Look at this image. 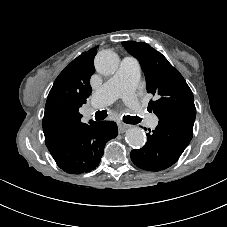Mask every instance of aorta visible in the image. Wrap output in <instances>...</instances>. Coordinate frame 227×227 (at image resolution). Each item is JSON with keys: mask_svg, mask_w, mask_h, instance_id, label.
<instances>
[{"mask_svg": "<svg viewBox=\"0 0 227 227\" xmlns=\"http://www.w3.org/2000/svg\"><path fill=\"white\" fill-rule=\"evenodd\" d=\"M119 65V58L111 50L100 51L95 57V68L102 75L114 74ZM126 142L135 149L143 147L146 143V134L140 127H132L126 131Z\"/></svg>", "mask_w": 227, "mask_h": 227, "instance_id": "762f6f07", "label": "aorta"}]
</instances>
